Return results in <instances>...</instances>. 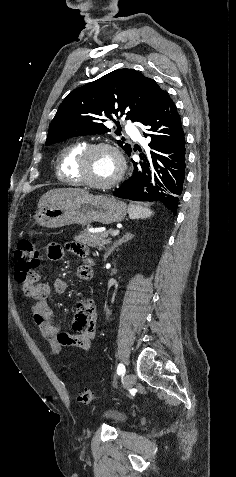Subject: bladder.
Segmentation results:
<instances>
[{"label":"bladder","mask_w":236,"mask_h":477,"mask_svg":"<svg viewBox=\"0 0 236 477\" xmlns=\"http://www.w3.org/2000/svg\"><path fill=\"white\" fill-rule=\"evenodd\" d=\"M100 417L102 420L109 422L115 427L124 426L128 419L124 413L117 410H111V409L104 410L101 413Z\"/></svg>","instance_id":"31cf9c89"}]
</instances>
